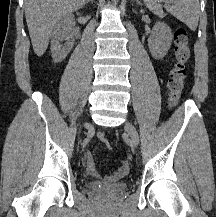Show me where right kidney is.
<instances>
[{
    "label": "right kidney",
    "mask_w": 216,
    "mask_h": 217,
    "mask_svg": "<svg viewBox=\"0 0 216 217\" xmlns=\"http://www.w3.org/2000/svg\"><path fill=\"white\" fill-rule=\"evenodd\" d=\"M74 25L73 15H66L56 24L51 40V53L54 62H61L72 49L74 36L71 31ZM63 41H65L64 45L61 44Z\"/></svg>",
    "instance_id": "obj_1"
}]
</instances>
